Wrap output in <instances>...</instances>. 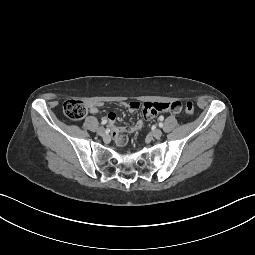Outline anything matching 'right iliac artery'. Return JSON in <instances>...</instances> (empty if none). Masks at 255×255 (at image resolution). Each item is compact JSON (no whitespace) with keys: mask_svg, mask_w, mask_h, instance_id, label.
Segmentation results:
<instances>
[{"mask_svg":"<svg viewBox=\"0 0 255 255\" xmlns=\"http://www.w3.org/2000/svg\"><path fill=\"white\" fill-rule=\"evenodd\" d=\"M106 123H107L106 119H103L102 122H101V124H103V125L106 124Z\"/></svg>","mask_w":255,"mask_h":255,"instance_id":"82829eb1","label":"right iliac artery"}]
</instances>
